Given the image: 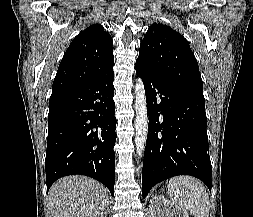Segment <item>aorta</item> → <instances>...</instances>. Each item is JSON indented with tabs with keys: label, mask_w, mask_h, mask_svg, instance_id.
<instances>
[{
	"label": "aorta",
	"mask_w": 253,
	"mask_h": 217,
	"mask_svg": "<svg viewBox=\"0 0 253 217\" xmlns=\"http://www.w3.org/2000/svg\"><path fill=\"white\" fill-rule=\"evenodd\" d=\"M135 146L136 154L142 157L144 154L148 134V114L145 88L143 81L138 78L135 84Z\"/></svg>",
	"instance_id": "aorta-1"
}]
</instances>
